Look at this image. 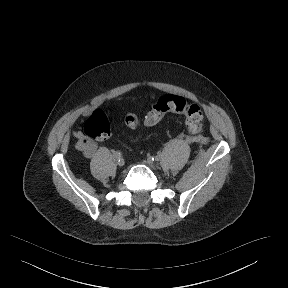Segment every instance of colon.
<instances>
[{"instance_id":"colon-1","label":"colon","mask_w":288,"mask_h":288,"mask_svg":"<svg viewBox=\"0 0 288 288\" xmlns=\"http://www.w3.org/2000/svg\"><path fill=\"white\" fill-rule=\"evenodd\" d=\"M168 113L185 115V126L190 133L197 134L203 125V111L193 103H189L180 95H165L158 99L147 113L143 125L152 127L163 120ZM127 127L137 129L141 126L138 118L128 117L125 120ZM84 133L93 140H106L111 134V125L104 110L94 111L84 124Z\"/></svg>"}]
</instances>
